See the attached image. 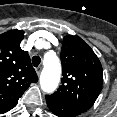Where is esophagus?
Returning a JSON list of instances; mask_svg holds the SVG:
<instances>
[{
	"label": "esophagus",
	"instance_id": "1",
	"mask_svg": "<svg viewBox=\"0 0 117 117\" xmlns=\"http://www.w3.org/2000/svg\"><path fill=\"white\" fill-rule=\"evenodd\" d=\"M41 71H42V67H37V68H36V73H37L38 75L41 73Z\"/></svg>",
	"mask_w": 117,
	"mask_h": 117
}]
</instances>
